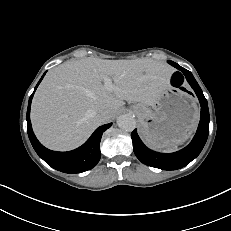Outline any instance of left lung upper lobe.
Returning a JSON list of instances; mask_svg holds the SVG:
<instances>
[{"label": "left lung upper lobe", "mask_w": 231, "mask_h": 231, "mask_svg": "<svg viewBox=\"0 0 231 231\" xmlns=\"http://www.w3.org/2000/svg\"><path fill=\"white\" fill-rule=\"evenodd\" d=\"M169 63L179 69V66L176 63L171 62V61H169Z\"/></svg>", "instance_id": "left-lung-upper-lobe-1"}]
</instances>
